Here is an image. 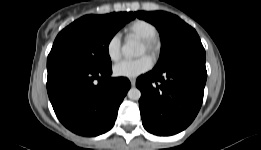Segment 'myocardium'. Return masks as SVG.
I'll return each instance as SVG.
<instances>
[{"label": "myocardium", "instance_id": "1", "mask_svg": "<svg viewBox=\"0 0 261 150\" xmlns=\"http://www.w3.org/2000/svg\"><path fill=\"white\" fill-rule=\"evenodd\" d=\"M141 42L144 45L146 52L153 58H156L159 55L161 50V41L157 36L142 39Z\"/></svg>", "mask_w": 261, "mask_h": 150}]
</instances>
